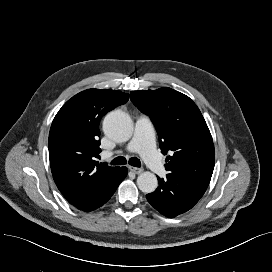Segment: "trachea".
I'll use <instances>...</instances> for the list:
<instances>
[{
	"label": "trachea",
	"mask_w": 272,
	"mask_h": 272,
	"mask_svg": "<svg viewBox=\"0 0 272 272\" xmlns=\"http://www.w3.org/2000/svg\"><path fill=\"white\" fill-rule=\"evenodd\" d=\"M127 163L126 159L122 156H119V157H116L115 159H113L111 161V164L113 165H125ZM131 166H134V167H140L141 166V162L138 158L136 157H132L129 159V162H128Z\"/></svg>",
	"instance_id": "trachea-1"
}]
</instances>
